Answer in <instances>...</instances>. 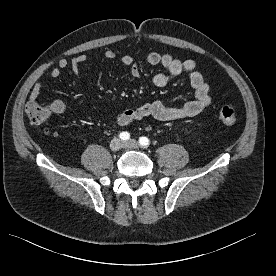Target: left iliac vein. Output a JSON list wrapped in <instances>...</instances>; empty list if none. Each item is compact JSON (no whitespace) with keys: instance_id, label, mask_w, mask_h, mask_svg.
<instances>
[{"instance_id":"left-iliac-vein-1","label":"left iliac vein","mask_w":276,"mask_h":276,"mask_svg":"<svg viewBox=\"0 0 276 276\" xmlns=\"http://www.w3.org/2000/svg\"><path fill=\"white\" fill-rule=\"evenodd\" d=\"M123 147L136 149L139 147V143L134 139H130L128 141L123 142Z\"/></svg>"}]
</instances>
